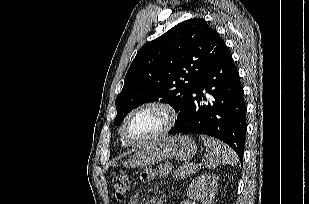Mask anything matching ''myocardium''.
I'll return each instance as SVG.
<instances>
[{
	"label": "myocardium",
	"instance_id": "obj_1",
	"mask_svg": "<svg viewBox=\"0 0 309 204\" xmlns=\"http://www.w3.org/2000/svg\"><path fill=\"white\" fill-rule=\"evenodd\" d=\"M148 108L159 109L165 114L166 121H165L164 126L158 132L154 133L153 135L143 140L133 141L129 139L126 134V126H127L129 119L137 112L144 110V109H148ZM176 121H177V112L171 105L165 102H161V101L145 102L133 108L126 115V117L123 120L122 126H121V137L124 143L129 146H142L169 133L172 130V128L175 126Z\"/></svg>",
	"mask_w": 309,
	"mask_h": 204
}]
</instances>
